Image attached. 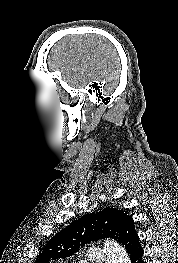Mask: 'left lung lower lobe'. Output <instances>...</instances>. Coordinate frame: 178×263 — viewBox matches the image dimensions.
Returning a JSON list of instances; mask_svg holds the SVG:
<instances>
[{
  "label": "left lung lower lobe",
  "instance_id": "obj_1",
  "mask_svg": "<svg viewBox=\"0 0 178 263\" xmlns=\"http://www.w3.org/2000/svg\"><path fill=\"white\" fill-rule=\"evenodd\" d=\"M119 243L127 250L132 263H145L142 260L143 248L140 245L139 237L135 231L133 218L130 217L121 233Z\"/></svg>",
  "mask_w": 178,
  "mask_h": 263
}]
</instances>
